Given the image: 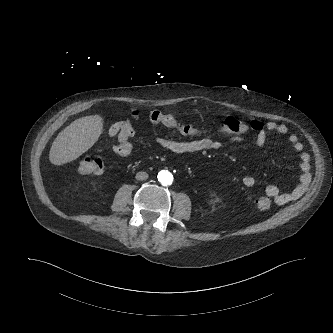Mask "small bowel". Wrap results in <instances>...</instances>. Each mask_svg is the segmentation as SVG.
Masks as SVG:
<instances>
[{"mask_svg": "<svg viewBox=\"0 0 333 333\" xmlns=\"http://www.w3.org/2000/svg\"><path fill=\"white\" fill-rule=\"evenodd\" d=\"M119 123L113 125L109 130V136L117 138V144L114 146V151L121 156H128L132 152V145L129 139L132 136H126L119 131ZM288 132V127L282 123H276L273 121L267 122L260 130H258L255 138V145L261 148L265 145L269 133H275L278 135H284ZM226 136L228 142H242L245 139L243 133L228 132L222 134ZM154 143L169 152L173 153H192L202 150H219L223 147L224 142L222 140L213 139L211 137H203L197 140L191 141H177L169 138L156 136L153 138ZM289 143L292 145L294 150L299 154L300 169L303 181L300 182L294 189L288 192L281 191L274 185H268L265 187V195L275 200L279 205H283L289 202L297 200L304 190V181L306 180L310 170V156L308 153L303 151V144L299 138L291 134L288 137ZM242 183L246 187H253L256 185L257 180L252 175H245L242 178Z\"/></svg>", "mask_w": 333, "mask_h": 333, "instance_id": "small-bowel-1", "label": "small bowel"}]
</instances>
